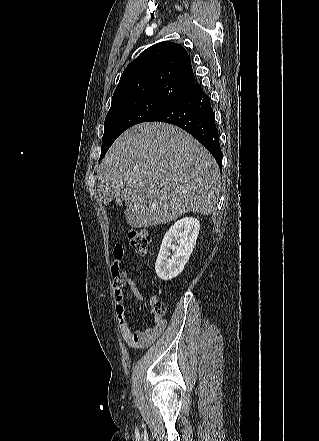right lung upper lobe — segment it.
Here are the masks:
<instances>
[{"instance_id": "cb5924a9", "label": "right lung upper lobe", "mask_w": 319, "mask_h": 441, "mask_svg": "<svg viewBox=\"0 0 319 441\" xmlns=\"http://www.w3.org/2000/svg\"><path fill=\"white\" fill-rule=\"evenodd\" d=\"M195 83L190 57L183 46L160 42L143 51L121 75L111 107L139 97L174 101Z\"/></svg>"}]
</instances>
